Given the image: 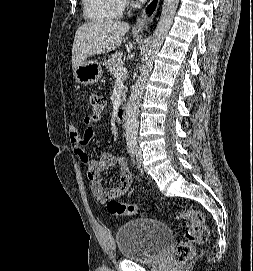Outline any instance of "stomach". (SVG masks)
I'll return each instance as SVG.
<instances>
[{
    "mask_svg": "<svg viewBox=\"0 0 253 271\" xmlns=\"http://www.w3.org/2000/svg\"><path fill=\"white\" fill-rule=\"evenodd\" d=\"M74 77L79 84H94L102 77V66L98 61H81L74 69Z\"/></svg>",
    "mask_w": 253,
    "mask_h": 271,
    "instance_id": "1",
    "label": "stomach"
}]
</instances>
